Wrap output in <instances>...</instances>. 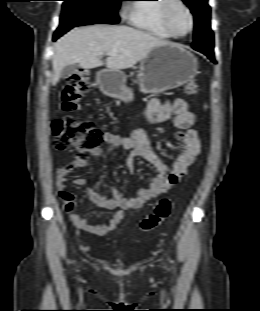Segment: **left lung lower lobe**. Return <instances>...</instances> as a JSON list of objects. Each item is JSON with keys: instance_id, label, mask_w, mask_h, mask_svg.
<instances>
[{"instance_id": "left-lung-lower-lobe-1", "label": "left lung lower lobe", "mask_w": 260, "mask_h": 311, "mask_svg": "<svg viewBox=\"0 0 260 311\" xmlns=\"http://www.w3.org/2000/svg\"><path fill=\"white\" fill-rule=\"evenodd\" d=\"M195 50L205 54L211 61L216 62L214 58L213 50H208L204 48H196Z\"/></svg>"}]
</instances>
